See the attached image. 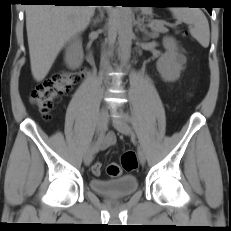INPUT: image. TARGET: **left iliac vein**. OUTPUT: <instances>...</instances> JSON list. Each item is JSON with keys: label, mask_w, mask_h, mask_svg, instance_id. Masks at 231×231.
<instances>
[{"label": "left iliac vein", "mask_w": 231, "mask_h": 231, "mask_svg": "<svg viewBox=\"0 0 231 231\" xmlns=\"http://www.w3.org/2000/svg\"><path fill=\"white\" fill-rule=\"evenodd\" d=\"M113 124L115 129L124 135H130L132 133L130 125L126 122L125 118L123 117L114 118ZM138 156L140 163L144 165L146 161V154L142 146L138 147Z\"/></svg>", "instance_id": "4c4485c4"}]
</instances>
